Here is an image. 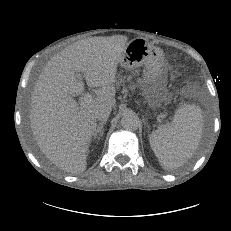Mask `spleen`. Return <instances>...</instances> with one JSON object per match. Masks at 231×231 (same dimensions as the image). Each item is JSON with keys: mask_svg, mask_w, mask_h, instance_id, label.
<instances>
[{"mask_svg": "<svg viewBox=\"0 0 231 231\" xmlns=\"http://www.w3.org/2000/svg\"><path fill=\"white\" fill-rule=\"evenodd\" d=\"M203 116L196 104H183L170 125H161L149 135L150 146L160 165L174 169L186 163L201 141Z\"/></svg>", "mask_w": 231, "mask_h": 231, "instance_id": "1", "label": "spleen"}]
</instances>
